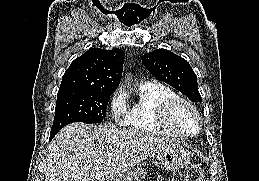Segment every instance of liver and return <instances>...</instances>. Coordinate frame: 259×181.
Segmentation results:
<instances>
[{
	"mask_svg": "<svg viewBox=\"0 0 259 181\" xmlns=\"http://www.w3.org/2000/svg\"><path fill=\"white\" fill-rule=\"evenodd\" d=\"M171 145L137 130L70 124L52 141L45 181H112Z\"/></svg>",
	"mask_w": 259,
	"mask_h": 181,
	"instance_id": "6515ba94",
	"label": "liver"
}]
</instances>
